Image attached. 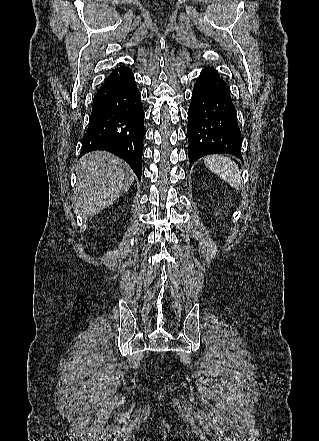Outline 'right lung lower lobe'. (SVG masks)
<instances>
[{
  "instance_id": "right-lung-lower-lobe-1",
  "label": "right lung lower lobe",
  "mask_w": 319,
  "mask_h": 441,
  "mask_svg": "<svg viewBox=\"0 0 319 441\" xmlns=\"http://www.w3.org/2000/svg\"><path fill=\"white\" fill-rule=\"evenodd\" d=\"M144 111L132 70L117 67L93 98L80 157L106 150L125 160L138 179L142 173Z\"/></svg>"
}]
</instances>
